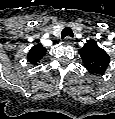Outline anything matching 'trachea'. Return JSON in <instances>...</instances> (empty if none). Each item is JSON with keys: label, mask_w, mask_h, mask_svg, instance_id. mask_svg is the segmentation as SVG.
<instances>
[{"label": "trachea", "mask_w": 115, "mask_h": 119, "mask_svg": "<svg viewBox=\"0 0 115 119\" xmlns=\"http://www.w3.org/2000/svg\"><path fill=\"white\" fill-rule=\"evenodd\" d=\"M73 37V32H72V29L69 28V27H65L62 31V39L65 38V37Z\"/></svg>", "instance_id": "3493384b"}]
</instances>
